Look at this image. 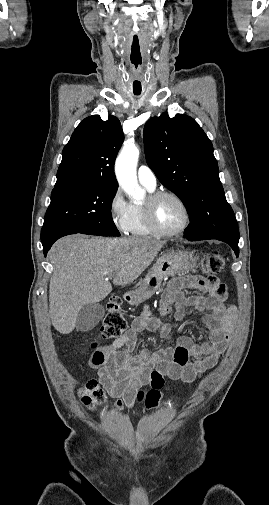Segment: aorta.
Returning <instances> with one entry per match:
<instances>
[{"label": "aorta", "mask_w": 269, "mask_h": 505, "mask_svg": "<svg viewBox=\"0 0 269 505\" xmlns=\"http://www.w3.org/2000/svg\"><path fill=\"white\" fill-rule=\"evenodd\" d=\"M138 158V147L134 144H126L115 163V174L118 183L134 202H139L145 197V190L139 186L137 181L136 167Z\"/></svg>", "instance_id": "aorta-1"}]
</instances>
